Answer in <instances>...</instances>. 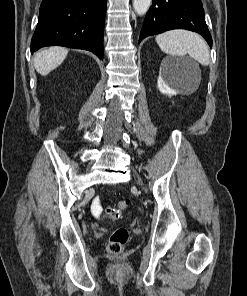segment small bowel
Wrapping results in <instances>:
<instances>
[{
  "mask_svg": "<svg viewBox=\"0 0 247 296\" xmlns=\"http://www.w3.org/2000/svg\"><path fill=\"white\" fill-rule=\"evenodd\" d=\"M99 211H100V206L98 205V203H96L95 206H94V212H95L96 214H98Z\"/></svg>",
  "mask_w": 247,
  "mask_h": 296,
  "instance_id": "1",
  "label": "small bowel"
}]
</instances>
